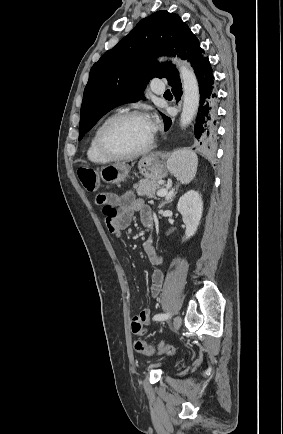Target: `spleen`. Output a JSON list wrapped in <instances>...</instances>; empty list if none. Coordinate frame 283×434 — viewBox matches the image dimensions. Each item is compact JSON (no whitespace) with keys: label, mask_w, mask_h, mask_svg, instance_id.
I'll return each mask as SVG.
<instances>
[{"label":"spleen","mask_w":283,"mask_h":434,"mask_svg":"<svg viewBox=\"0 0 283 434\" xmlns=\"http://www.w3.org/2000/svg\"><path fill=\"white\" fill-rule=\"evenodd\" d=\"M197 155L190 150H178L170 155L167 161L168 170L182 183L188 184L196 175Z\"/></svg>","instance_id":"3e777b00"}]
</instances>
